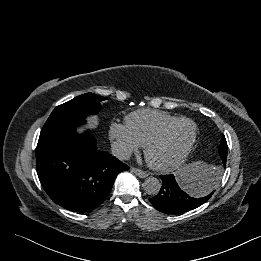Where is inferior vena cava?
<instances>
[{"mask_svg":"<svg viewBox=\"0 0 261 261\" xmlns=\"http://www.w3.org/2000/svg\"><path fill=\"white\" fill-rule=\"evenodd\" d=\"M111 150L112 154L121 160H127L131 156V150L128 147L117 142H114L111 145Z\"/></svg>","mask_w":261,"mask_h":261,"instance_id":"obj_1","label":"inferior vena cava"}]
</instances>
